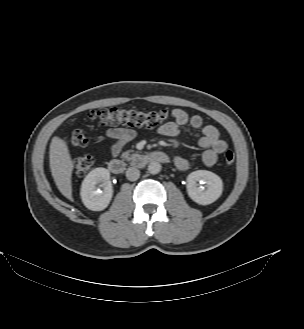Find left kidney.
Wrapping results in <instances>:
<instances>
[{"mask_svg": "<svg viewBox=\"0 0 304 329\" xmlns=\"http://www.w3.org/2000/svg\"><path fill=\"white\" fill-rule=\"evenodd\" d=\"M197 182L206 184V189L198 187ZM223 183L215 173L207 170H197L187 176V193L200 205L215 202L222 194Z\"/></svg>", "mask_w": 304, "mask_h": 329, "instance_id": "left-kidney-1", "label": "left kidney"}]
</instances>
